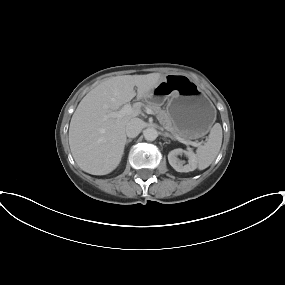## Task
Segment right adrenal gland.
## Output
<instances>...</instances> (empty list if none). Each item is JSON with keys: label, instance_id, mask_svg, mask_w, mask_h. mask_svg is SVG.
Here are the masks:
<instances>
[{"label": "right adrenal gland", "instance_id": "obj_1", "mask_svg": "<svg viewBox=\"0 0 285 285\" xmlns=\"http://www.w3.org/2000/svg\"><path fill=\"white\" fill-rule=\"evenodd\" d=\"M132 141V139H127L126 140V144H128L129 142H131Z\"/></svg>", "mask_w": 285, "mask_h": 285}]
</instances>
